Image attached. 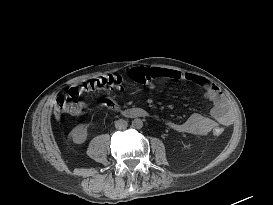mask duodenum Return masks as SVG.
Returning a JSON list of instances; mask_svg holds the SVG:
<instances>
[{
	"label": "duodenum",
	"mask_w": 273,
	"mask_h": 205,
	"mask_svg": "<svg viewBox=\"0 0 273 205\" xmlns=\"http://www.w3.org/2000/svg\"><path fill=\"white\" fill-rule=\"evenodd\" d=\"M110 108H117V109H121L122 113L126 114V115H132V116H142V112H134L132 113L129 109H123L120 108L119 106L115 105L114 103L109 104Z\"/></svg>",
	"instance_id": "duodenum-1"
}]
</instances>
